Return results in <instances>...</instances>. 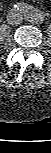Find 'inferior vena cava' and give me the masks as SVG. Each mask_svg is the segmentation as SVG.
I'll return each mask as SVG.
<instances>
[{
  "label": "inferior vena cava",
  "instance_id": "obj_1",
  "mask_svg": "<svg viewBox=\"0 0 51 153\" xmlns=\"http://www.w3.org/2000/svg\"><path fill=\"white\" fill-rule=\"evenodd\" d=\"M7 21L11 25H16L22 22V15L19 11H11L7 15Z\"/></svg>",
  "mask_w": 51,
  "mask_h": 153
}]
</instances>
